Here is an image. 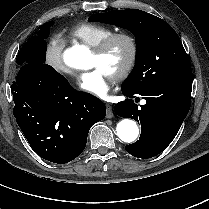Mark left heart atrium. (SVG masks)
I'll use <instances>...</instances> for the list:
<instances>
[{"label":"left heart atrium","mask_w":209,"mask_h":209,"mask_svg":"<svg viewBox=\"0 0 209 209\" xmlns=\"http://www.w3.org/2000/svg\"><path fill=\"white\" fill-rule=\"evenodd\" d=\"M114 78L99 67L79 74L78 85L87 93L98 98H106Z\"/></svg>","instance_id":"left-heart-atrium-1"}]
</instances>
